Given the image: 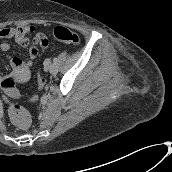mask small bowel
<instances>
[{
	"mask_svg": "<svg viewBox=\"0 0 172 172\" xmlns=\"http://www.w3.org/2000/svg\"><path fill=\"white\" fill-rule=\"evenodd\" d=\"M36 27L31 26H19V27H4L0 29V39H13L22 46H27L30 43L29 35L34 33ZM40 46L43 49H47L49 42L47 37L43 33L35 34L32 42V46L29 49V60L23 61L20 57H12L10 65L15 74L22 72L31 64V60L35 59L38 55V48ZM10 49V43L8 41H2L0 43V50L7 51Z\"/></svg>",
	"mask_w": 172,
	"mask_h": 172,
	"instance_id": "small-bowel-1",
	"label": "small bowel"
}]
</instances>
